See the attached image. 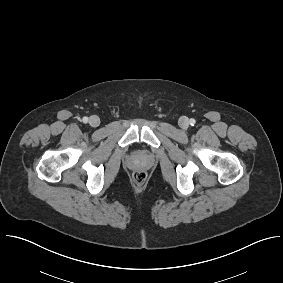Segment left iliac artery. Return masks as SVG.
<instances>
[{
	"mask_svg": "<svg viewBox=\"0 0 283 283\" xmlns=\"http://www.w3.org/2000/svg\"><path fill=\"white\" fill-rule=\"evenodd\" d=\"M195 123H196L195 119H193V118H192V119H190V125H191V126H194V125H195Z\"/></svg>",
	"mask_w": 283,
	"mask_h": 283,
	"instance_id": "44dca946",
	"label": "left iliac artery"
}]
</instances>
